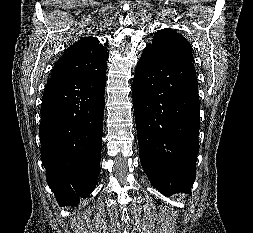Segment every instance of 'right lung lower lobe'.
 <instances>
[{"label": "right lung lower lobe", "instance_id": "right-lung-lower-lobe-1", "mask_svg": "<svg viewBox=\"0 0 253 233\" xmlns=\"http://www.w3.org/2000/svg\"><path fill=\"white\" fill-rule=\"evenodd\" d=\"M106 68L52 76L42 98L41 160L60 204L79 203L95 188L102 147Z\"/></svg>", "mask_w": 253, "mask_h": 233}]
</instances>
